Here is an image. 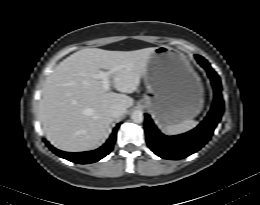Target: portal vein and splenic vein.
Segmentation results:
<instances>
[{
	"label": "portal vein and splenic vein",
	"mask_w": 260,
	"mask_h": 205,
	"mask_svg": "<svg viewBox=\"0 0 260 205\" xmlns=\"http://www.w3.org/2000/svg\"><path fill=\"white\" fill-rule=\"evenodd\" d=\"M116 71V69H112L110 71L104 72V71H100L97 75L98 78H100L102 80V86L105 90H109L110 89V75Z\"/></svg>",
	"instance_id": "obj_1"
}]
</instances>
